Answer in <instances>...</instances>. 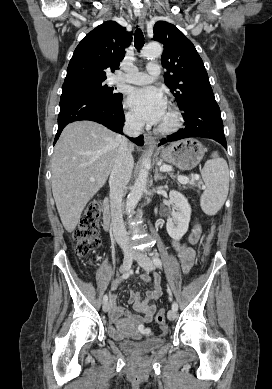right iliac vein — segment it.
Instances as JSON below:
<instances>
[{
	"mask_svg": "<svg viewBox=\"0 0 272 389\" xmlns=\"http://www.w3.org/2000/svg\"><path fill=\"white\" fill-rule=\"evenodd\" d=\"M133 258H134L133 253H126L124 255V260H123V263H122V265L120 267V271L122 273L127 272L131 268L132 262H133ZM109 309H110V304L108 302H105L103 304V311L104 312H108Z\"/></svg>",
	"mask_w": 272,
	"mask_h": 389,
	"instance_id": "1",
	"label": "right iliac vein"
}]
</instances>
